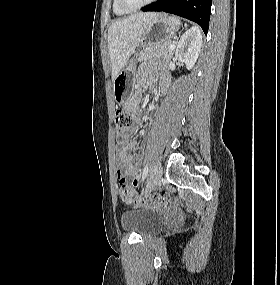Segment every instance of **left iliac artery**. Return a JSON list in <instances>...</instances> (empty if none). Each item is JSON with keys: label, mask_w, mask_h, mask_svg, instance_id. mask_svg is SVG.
Returning a JSON list of instances; mask_svg holds the SVG:
<instances>
[{"label": "left iliac artery", "mask_w": 280, "mask_h": 285, "mask_svg": "<svg viewBox=\"0 0 280 285\" xmlns=\"http://www.w3.org/2000/svg\"><path fill=\"white\" fill-rule=\"evenodd\" d=\"M148 165L146 164L144 169H143V172H142V180H144L148 174Z\"/></svg>", "instance_id": "44dca946"}]
</instances>
